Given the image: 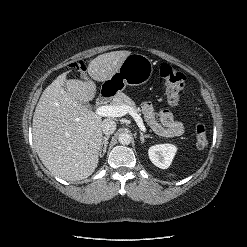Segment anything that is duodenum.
<instances>
[{
	"label": "duodenum",
	"mask_w": 247,
	"mask_h": 247,
	"mask_svg": "<svg viewBox=\"0 0 247 247\" xmlns=\"http://www.w3.org/2000/svg\"><path fill=\"white\" fill-rule=\"evenodd\" d=\"M111 94L112 93L110 91H103L97 98V104L98 105L105 104L110 98Z\"/></svg>",
	"instance_id": "duodenum-1"
}]
</instances>
